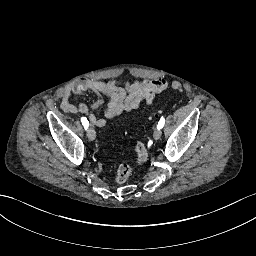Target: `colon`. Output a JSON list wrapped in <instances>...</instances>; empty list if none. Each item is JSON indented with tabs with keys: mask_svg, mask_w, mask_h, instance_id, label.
Returning <instances> with one entry per match:
<instances>
[{
	"mask_svg": "<svg viewBox=\"0 0 256 256\" xmlns=\"http://www.w3.org/2000/svg\"><path fill=\"white\" fill-rule=\"evenodd\" d=\"M172 89L176 92H180L183 90V87L180 83L174 82L172 84ZM136 156H137V161L139 163H143L148 159V153L144 143L142 142L137 143ZM131 171H132V167L130 165H127V164L120 165L114 177L115 182L117 184H123L129 177Z\"/></svg>",
	"mask_w": 256,
	"mask_h": 256,
	"instance_id": "1",
	"label": "colon"
}]
</instances>
